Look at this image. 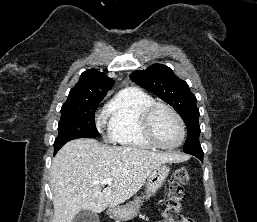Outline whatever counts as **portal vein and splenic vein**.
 <instances>
[{
    "label": "portal vein and splenic vein",
    "mask_w": 257,
    "mask_h": 222,
    "mask_svg": "<svg viewBox=\"0 0 257 222\" xmlns=\"http://www.w3.org/2000/svg\"><path fill=\"white\" fill-rule=\"evenodd\" d=\"M96 183L102 184V185H111L112 179H111V178H106V179H104V180H102V181H98V182H96Z\"/></svg>",
    "instance_id": "obj_1"
}]
</instances>
